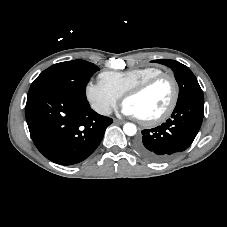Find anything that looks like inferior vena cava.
<instances>
[{
	"instance_id": "1",
	"label": "inferior vena cava",
	"mask_w": 227,
	"mask_h": 227,
	"mask_svg": "<svg viewBox=\"0 0 227 227\" xmlns=\"http://www.w3.org/2000/svg\"><path fill=\"white\" fill-rule=\"evenodd\" d=\"M98 113L102 115H111L112 114V109L108 106L102 107L98 110Z\"/></svg>"
}]
</instances>
